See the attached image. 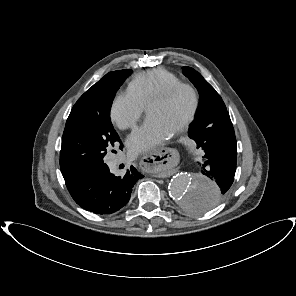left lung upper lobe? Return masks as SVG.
I'll return each instance as SVG.
<instances>
[{
  "instance_id": "left-lung-upper-lobe-1",
  "label": "left lung upper lobe",
  "mask_w": 296,
  "mask_h": 296,
  "mask_svg": "<svg viewBox=\"0 0 296 296\" xmlns=\"http://www.w3.org/2000/svg\"><path fill=\"white\" fill-rule=\"evenodd\" d=\"M182 69L183 74L194 84L200 95L198 112L189 129V137L197 143V148H200L203 141L201 133L218 118L227 113V110L220 95L199 72L186 66ZM192 204L193 202L189 207Z\"/></svg>"
}]
</instances>
